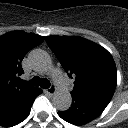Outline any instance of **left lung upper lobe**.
Here are the masks:
<instances>
[{"instance_id": "1", "label": "left lung upper lobe", "mask_w": 128, "mask_h": 128, "mask_svg": "<svg viewBox=\"0 0 128 128\" xmlns=\"http://www.w3.org/2000/svg\"><path fill=\"white\" fill-rule=\"evenodd\" d=\"M45 40L69 76H75L73 97L111 100L117 71L113 57L105 48L76 36L55 35Z\"/></svg>"}]
</instances>
